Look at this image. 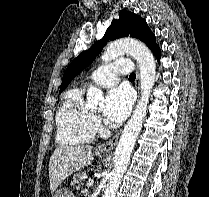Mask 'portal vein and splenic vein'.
Returning <instances> with one entry per match:
<instances>
[{"label": "portal vein and splenic vein", "mask_w": 209, "mask_h": 197, "mask_svg": "<svg viewBox=\"0 0 209 197\" xmlns=\"http://www.w3.org/2000/svg\"><path fill=\"white\" fill-rule=\"evenodd\" d=\"M92 184H93V181H92V180H89V181L87 182V187L92 186Z\"/></svg>", "instance_id": "18ae733b"}]
</instances>
